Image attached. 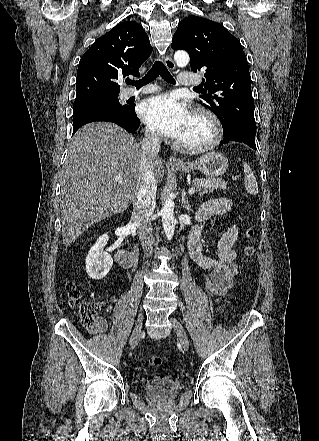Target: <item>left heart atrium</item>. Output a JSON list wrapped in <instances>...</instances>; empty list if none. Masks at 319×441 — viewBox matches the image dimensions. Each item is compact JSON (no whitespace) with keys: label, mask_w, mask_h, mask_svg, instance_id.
Instances as JSON below:
<instances>
[{"label":"left heart atrium","mask_w":319,"mask_h":441,"mask_svg":"<svg viewBox=\"0 0 319 441\" xmlns=\"http://www.w3.org/2000/svg\"><path fill=\"white\" fill-rule=\"evenodd\" d=\"M140 114L149 127L176 140L182 136L192 118L187 107L172 94L145 99L140 105Z\"/></svg>","instance_id":"1"}]
</instances>
